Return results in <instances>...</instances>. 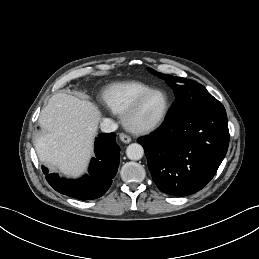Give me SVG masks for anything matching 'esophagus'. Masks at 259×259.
Instances as JSON below:
<instances>
[{"mask_svg": "<svg viewBox=\"0 0 259 259\" xmlns=\"http://www.w3.org/2000/svg\"><path fill=\"white\" fill-rule=\"evenodd\" d=\"M119 138H120V140H121L123 143H126V144H128V143H130V142L132 141L131 137L128 136V135H126L125 133H121V134L119 135Z\"/></svg>", "mask_w": 259, "mask_h": 259, "instance_id": "obj_1", "label": "esophagus"}]
</instances>
